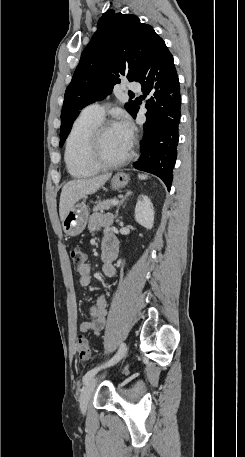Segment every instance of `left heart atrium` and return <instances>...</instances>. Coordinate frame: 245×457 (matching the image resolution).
Masks as SVG:
<instances>
[{"instance_id":"39dd6f15","label":"left heart atrium","mask_w":245,"mask_h":457,"mask_svg":"<svg viewBox=\"0 0 245 457\" xmlns=\"http://www.w3.org/2000/svg\"><path fill=\"white\" fill-rule=\"evenodd\" d=\"M115 128L123 139L130 145L133 138V127L130 120L126 117H121L116 123Z\"/></svg>"}]
</instances>
